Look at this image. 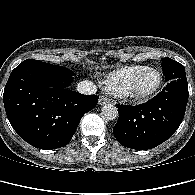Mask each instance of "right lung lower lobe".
<instances>
[{
    "label": "right lung lower lobe",
    "mask_w": 195,
    "mask_h": 195,
    "mask_svg": "<svg viewBox=\"0 0 195 195\" xmlns=\"http://www.w3.org/2000/svg\"><path fill=\"white\" fill-rule=\"evenodd\" d=\"M98 98L57 87L50 74L32 65L13 69L3 94L13 129L40 149L67 145L81 118L96 106Z\"/></svg>",
    "instance_id": "right-lung-lower-lobe-1"
}]
</instances>
